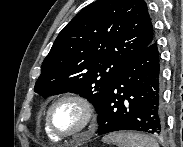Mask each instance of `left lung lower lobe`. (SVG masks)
Here are the masks:
<instances>
[{
    "mask_svg": "<svg viewBox=\"0 0 183 147\" xmlns=\"http://www.w3.org/2000/svg\"><path fill=\"white\" fill-rule=\"evenodd\" d=\"M97 114L99 135L119 130L163 133L160 63L154 41L120 71Z\"/></svg>",
    "mask_w": 183,
    "mask_h": 147,
    "instance_id": "0a47b994",
    "label": "left lung lower lobe"
}]
</instances>
